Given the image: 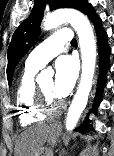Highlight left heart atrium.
I'll use <instances>...</instances> for the list:
<instances>
[{
  "label": "left heart atrium",
  "mask_w": 114,
  "mask_h": 156,
  "mask_svg": "<svg viewBox=\"0 0 114 156\" xmlns=\"http://www.w3.org/2000/svg\"><path fill=\"white\" fill-rule=\"evenodd\" d=\"M78 62L72 56H62L55 64V79L53 84V94L56 98L67 97L77 80Z\"/></svg>",
  "instance_id": "39dd6f15"
}]
</instances>
